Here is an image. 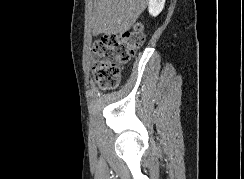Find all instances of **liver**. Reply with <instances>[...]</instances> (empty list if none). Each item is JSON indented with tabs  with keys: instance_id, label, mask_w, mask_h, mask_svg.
I'll return each mask as SVG.
<instances>
[{
	"instance_id": "6515ba94",
	"label": "liver",
	"mask_w": 244,
	"mask_h": 179,
	"mask_svg": "<svg viewBox=\"0 0 244 179\" xmlns=\"http://www.w3.org/2000/svg\"><path fill=\"white\" fill-rule=\"evenodd\" d=\"M147 4V0H94V34L112 36L127 32L144 12Z\"/></svg>"
}]
</instances>
